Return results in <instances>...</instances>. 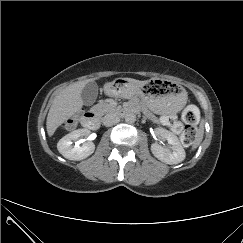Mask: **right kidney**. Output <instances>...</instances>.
Segmentation results:
<instances>
[{
    "label": "right kidney",
    "mask_w": 243,
    "mask_h": 243,
    "mask_svg": "<svg viewBox=\"0 0 243 243\" xmlns=\"http://www.w3.org/2000/svg\"><path fill=\"white\" fill-rule=\"evenodd\" d=\"M89 131L86 129H78L65 135L57 144V149L66 159L69 160H83L90 156L94 150L95 145L91 141H86L80 146V138L87 136ZM73 142L75 145L73 146Z\"/></svg>",
    "instance_id": "right-kidney-1"
}]
</instances>
